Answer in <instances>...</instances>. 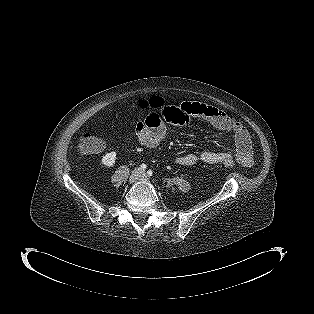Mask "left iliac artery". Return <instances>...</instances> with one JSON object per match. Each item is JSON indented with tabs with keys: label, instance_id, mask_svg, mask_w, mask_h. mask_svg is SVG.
Returning <instances> with one entry per match:
<instances>
[{
	"label": "left iliac artery",
	"instance_id": "left-iliac-artery-1",
	"mask_svg": "<svg viewBox=\"0 0 314 314\" xmlns=\"http://www.w3.org/2000/svg\"><path fill=\"white\" fill-rule=\"evenodd\" d=\"M147 174H148L149 176H152V174H153L152 170H148Z\"/></svg>",
	"mask_w": 314,
	"mask_h": 314
}]
</instances>
